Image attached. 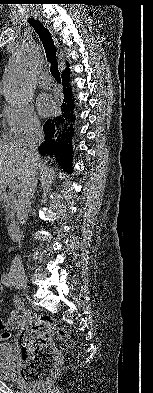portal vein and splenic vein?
<instances>
[{"label": "portal vein and splenic vein", "instance_id": "1", "mask_svg": "<svg viewBox=\"0 0 153 393\" xmlns=\"http://www.w3.org/2000/svg\"><path fill=\"white\" fill-rule=\"evenodd\" d=\"M21 186H22V184L19 185L18 183H14V184L12 185V191L18 190Z\"/></svg>", "mask_w": 153, "mask_h": 393}]
</instances>
